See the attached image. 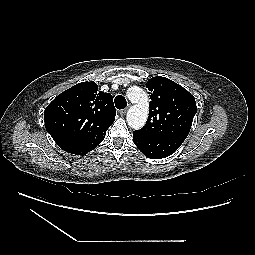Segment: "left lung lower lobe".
Here are the masks:
<instances>
[{"mask_svg": "<svg viewBox=\"0 0 255 255\" xmlns=\"http://www.w3.org/2000/svg\"><path fill=\"white\" fill-rule=\"evenodd\" d=\"M185 139L175 136H144L133 132V142L150 159H162L173 154Z\"/></svg>", "mask_w": 255, "mask_h": 255, "instance_id": "left-lung-lower-lobe-1", "label": "left lung lower lobe"}]
</instances>
